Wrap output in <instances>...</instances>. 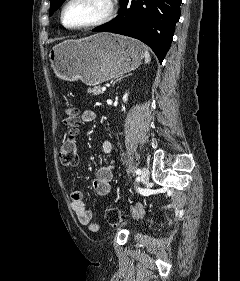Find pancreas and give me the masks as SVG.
<instances>
[{"instance_id": "obj_1", "label": "pancreas", "mask_w": 240, "mask_h": 281, "mask_svg": "<svg viewBox=\"0 0 240 281\" xmlns=\"http://www.w3.org/2000/svg\"><path fill=\"white\" fill-rule=\"evenodd\" d=\"M87 92L92 95H100L103 93L101 88L99 86L93 87V88H88Z\"/></svg>"}]
</instances>
